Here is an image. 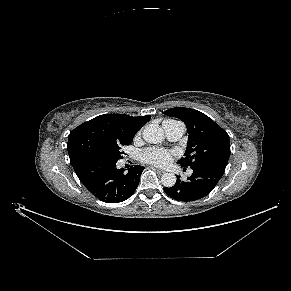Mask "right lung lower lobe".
<instances>
[{"mask_svg":"<svg viewBox=\"0 0 291 291\" xmlns=\"http://www.w3.org/2000/svg\"><path fill=\"white\" fill-rule=\"evenodd\" d=\"M115 160L98 155L81 157L72 166L82 184L99 200L118 203L135 192L143 166L134 165L128 173L117 169Z\"/></svg>","mask_w":291,"mask_h":291,"instance_id":"right-lung-lower-lobe-1","label":"right lung lower lobe"}]
</instances>
